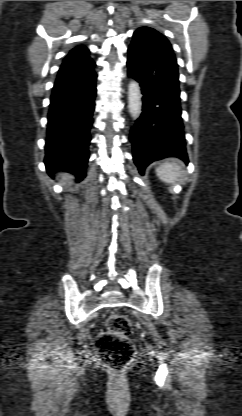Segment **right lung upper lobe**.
Listing matches in <instances>:
<instances>
[{
  "instance_id": "1",
  "label": "right lung upper lobe",
  "mask_w": 242,
  "mask_h": 416,
  "mask_svg": "<svg viewBox=\"0 0 242 416\" xmlns=\"http://www.w3.org/2000/svg\"><path fill=\"white\" fill-rule=\"evenodd\" d=\"M88 53L84 46L73 48L63 60L57 78H81L87 74L95 66Z\"/></svg>"
}]
</instances>
